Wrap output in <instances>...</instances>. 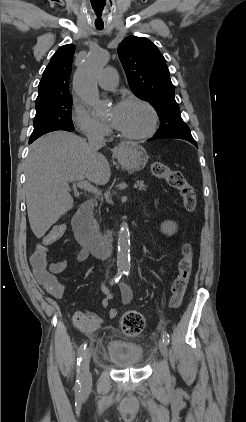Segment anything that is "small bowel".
<instances>
[{
	"instance_id": "obj_1",
	"label": "small bowel",
	"mask_w": 246,
	"mask_h": 422,
	"mask_svg": "<svg viewBox=\"0 0 246 422\" xmlns=\"http://www.w3.org/2000/svg\"><path fill=\"white\" fill-rule=\"evenodd\" d=\"M88 255V250L85 248L78 254L79 260H84ZM67 267L66 261L51 263L48 265L45 276H37L39 283L46 289V291L55 298H62L65 293L64 285L57 279L56 275L62 273ZM104 299L102 305L108 308L113 300V294L108 289L105 283L101 284ZM121 298L124 304H129L133 299L131 287L127 283H122L120 286ZM118 312L115 308H110L108 311L109 318H115ZM75 326L86 334H93L105 321V319L97 314L78 311L73 316Z\"/></svg>"
}]
</instances>
